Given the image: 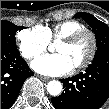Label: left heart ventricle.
Here are the masks:
<instances>
[{"label":"left heart ventricle","instance_id":"b2bd125f","mask_svg":"<svg viewBox=\"0 0 109 109\" xmlns=\"http://www.w3.org/2000/svg\"><path fill=\"white\" fill-rule=\"evenodd\" d=\"M91 49V40L88 35L82 36L71 45L58 43L56 51L63 54L73 67L81 64L89 55Z\"/></svg>","mask_w":109,"mask_h":109}]
</instances>
